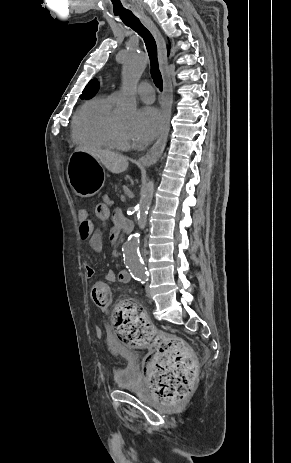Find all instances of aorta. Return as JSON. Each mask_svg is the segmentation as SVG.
<instances>
[{
    "instance_id": "762f6f07",
    "label": "aorta",
    "mask_w": 291,
    "mask_h": 463,
    "mask_svg": "<svg viewBox=\"0 0 291 463\" xmlns=\"http://www.w3.org/2000/svg\"><path fill=\"white\" fill-rule=\"evenodd\" d=\"M147 66V58L142 52L136 50L126 53L122 67V110L125 116L132 117L136 113V87ZM154 193V183L149 182L143 189L137 206V224L144 228L149 205ZM139 234L129 236L123 246V257L126 267L133 276L146 277V268L139 254Z\"/></svg>"
}]
</instances>
